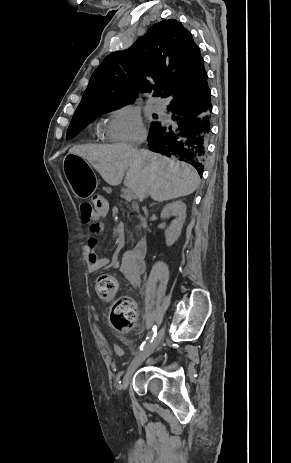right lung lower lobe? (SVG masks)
Returning a JSON list of instances; mask_svg holds the SVG:
<instances>
[{"instance_id": "98d812e1", "label": "right lung lower lobe", "mask_w": 291, "mask_h": 463, "mask_svg": "<svg viewBox=\"0 0 291 463\" xmlns=\"http://www.w3.org/2000/svg\"><path fill=\"white\" fill-rule=\"evenodd\" d=\"M202 86L205 91L195 103L178 102L168 107L172 125L157 122L151 126L148 135L151 151L191 164L200 176L211 127L212 103L207 74Z\"/></svg>"}]
</instances>
